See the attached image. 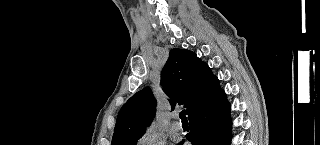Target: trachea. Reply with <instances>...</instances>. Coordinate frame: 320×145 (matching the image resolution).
Returning <instances> with one entry per match:
<instances>
[{
    "instance_id": "1",
    "label": "trachea",
    "mask_w": 320,
    "mask_h": 145,
    "mask_svg": "<svg viewBox=\"0 0 320 145\" xmlns=\"http://www.w3.org/2000/svg\"><path fill=\"white\" fill-rule=\"evenodd\" d=\"M179 117L182 121H187V118H186V115H185V110H182L180 113H179Z\"/></svg>"
}]
</instances>
